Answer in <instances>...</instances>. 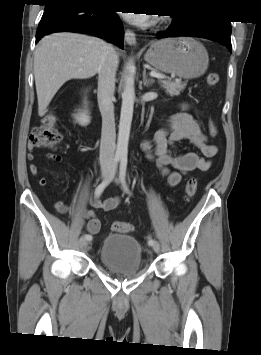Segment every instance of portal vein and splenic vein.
<instances>
[{
  "label": "portal vein and splenic vein",
  "instance_id": "obj_1",
  "mask_svg": "<svg viewBox=\"0 0 261 355\" xmlns=\"http://www.w3.org/2000/svg\"><path fill=\"white\" fill-rule=\"evenodd\" d=\"M150 76L156 77V78H165V76H163L159 73H156L155 71L150 72Z\"/></svg>",
  "mask_w": 261,
  "mask_h": 355
}]
</instances>
